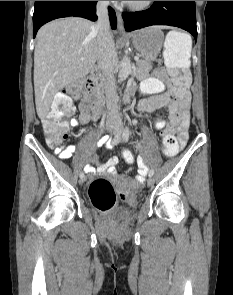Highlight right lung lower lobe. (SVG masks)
Here are the masks:
<instances>
[{"instance_id": "obj_1", "label": "right lung lower lobe", "mask_w": 233, "mask_h": 295, "mask_svg": "<svg viewBox=\"0 0 233 295\" xmlns=\"http://www.w3.org/2000/svg\"><path fill=\"white\" fill-rule=\"evenodd\" d=\"M97 1H35L33 15V37L38 29L48 21L66 16H79L89 20H97ZM112 29L117 26L115 11L108 7Z\"/></svg>"}]
</instances>
